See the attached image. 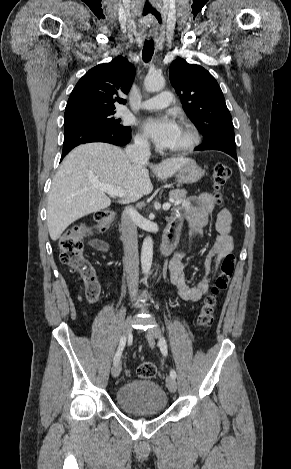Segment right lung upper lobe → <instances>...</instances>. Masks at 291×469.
Wrapping results in <instances>:
<instances>
[{
  "label": "right lung upper lobe",
  "instance_id": "cb5924a9",
  "mask_svg": "<svg viewBox=\"0 0 291 469\" xmlns=\"http://www.w3.org/2000/svg\"><path fill=\"white\" fill-rule=\"evenodd\" d=\"M135 75L134 66L122 56L90 69L76 84L68 99L65 114L91 110L115 109L125 104Z\"/></svg>",
  "mask_w": 291,
  "mask_h": 469
}]
</instances>
